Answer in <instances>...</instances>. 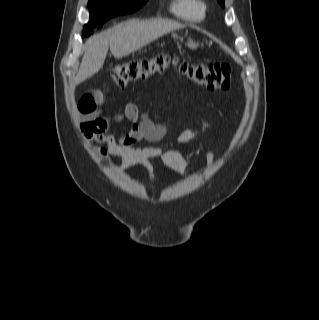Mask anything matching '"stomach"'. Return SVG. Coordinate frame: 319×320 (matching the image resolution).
Instances as JSON below:
<instances>
[{
	"mask_svg": "<svg viewBox=\"0 0 319 320\" xmlns=\"http://www.w3.org/2000/svg\"><path fill=\"white\" fill-rule=\"evenodd\" d=\"M187 46L190 48V49H196L198 47V43H196L195 41L193 40H189L187 42Z\"/></svg>",
	"mask_w": 319,
	"mask_h": 320,
	"instance_id": "stomach-1",
	"label": "stomach"
}]
</instances>
